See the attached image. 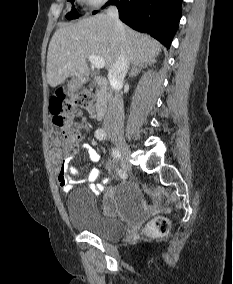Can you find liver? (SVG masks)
<instances>
[{"label":"liver","instance_id":"6515ba94","mask_svg":"<svg viewBox=\"0 0 233 284\" xmlns=\"http://www.w3.org/2000/svg\"><path fill=\"white\" fill-rule=\"evenodd\" d=\"M126 31V56L133 65L142 67L154 62L161 44L147 35L124 25ZM123 48L120 31L107 14H97L75 24L60 27L52 36L47 53V80L56 87L69 77H86L90 55L102 57L108 71Z\"/></svg>","mask_w":233,"mask_h":284}]
</instances>
